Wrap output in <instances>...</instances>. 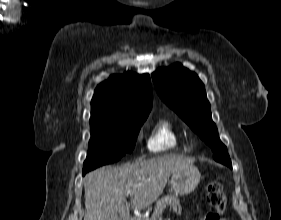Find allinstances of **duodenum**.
<instances>
[{
	"instance_id": "obj_1",
	"label": "duodenum",
	"mask_w": 281,
	"mask_h": 220,
	"mask_svg": "<svg viewBox=\"0 0 281 220\" xmlns=\"http://www.w3.org/2000/svg\"><path fill=\"white\" fill-rule=\"evenodd\" d=\"M131 220H138L137 218H131Z\"/></svg>"
}]
</instances>
